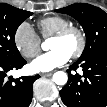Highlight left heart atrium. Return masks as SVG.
<instances>
[{
  "label": "left heart atrium",
  "mask_w": 107,
  "mask_h": 107,
  "mask_svg": "<svg viewBox=\"0 0 107 107\" xmlns=\"http://www.w3.org/2000/svg\"><path fill=\"white\" fill-rule=\"evenodd\" d=\"M70 54L62 49H53L38 56L32 63L31 68L36 72H49L57 67L66 64Z\"/></svg>",
  "instance_id": "39dd6f15"
}]
</instances>
